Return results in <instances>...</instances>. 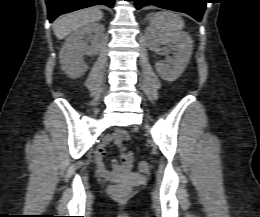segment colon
I'll use <instances>...</instances> for the list:
<instances>
[{"label": "colon", "instance_id": "colon-1", "mask_svg": "<svg viewBox=\"0 0 260 217\" xmlns=\"http://www.w3.org/2000/svg\"><path fill=\"white\" fill-rule=\"evenodd\" d=\"M138 168L140 171L146 172L149 169V165L147 162L142 161L138 164ZM110 193L119 197H124L127 194V188L122 184L113 185L110 188Z\"/></svg>", "mask_w": 260, "mask_h": 217}]
</instances>
